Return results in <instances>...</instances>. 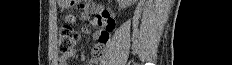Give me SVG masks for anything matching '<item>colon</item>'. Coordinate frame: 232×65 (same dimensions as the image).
I'll use <instances>...</instances> for the list:
<instances>
[{"label": "colon", "mask_w": 232, "mask_h": 65, "mask_svg": "<svg viewBox=\"0 0 232 65\" xmlns=\"http://www.w3.org/2000/svg\"><path fill=\"white\" fill-rule=\"evenodd\" d=\"M76 6L78 9L82 11H87L91 7V2L90 1H75ZM79 40V34L77 31L69 26L65 25L62 27L60 30V35H59V48L60 51L63 53L71 51L75 45L77 44ZM102 46H99L96 51V57L99 58L102 55Z\"/></svg>", "instance_id": "colon-1"}]
</instances>
